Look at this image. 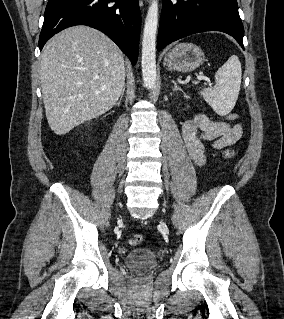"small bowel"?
<instances>
[{
    "label": "small bowel",
    "instance_id": "c3829d8e",
    "mask_svg": "<svg viewBox=\"0 0 284 319\" xmlns=\"http://www.w3.org/2000/svg\"><path fill=\"white\" fill-rule=\"evenodd\" d=\"M242 135V126L231 125L224 121H215L204 114H197L182 124V137L191 159L198 165L206 161L205 142L222 150L236 143Z\"/></svg>",
    "mask_w": 284,
    "mask_h": 319
}]
</instances>
